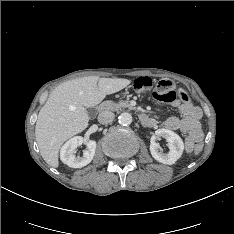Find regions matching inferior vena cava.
Segmentation results:
<instances>
[{
	"mask_svg": "<svg viewBox=\"0 0 234 234\" xmlns=\"http://www.w3.org/2000/svg\"><path fill=\"white\" fill-rule=\"evenodd\" d=\"M114 118H115L114 113L110 111H104L98 115V121L101 124L111 123L114 120Z\"/></svg>",
	"mask_w": 234,
	"mask_h": 234,
	"instance_id": "inferior-vena-cava-1",
	"label": "inferior vena cava"
}]
</instances>
